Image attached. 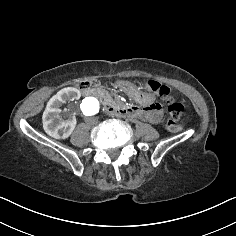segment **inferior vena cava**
I'll list each match as a JSON object with an SVG mask.
<instances>
[{"label":"inferior vena cava","instance_id":"inferior-vena-cava-1","mask_svg":"<svg viewBox=\"0 0 236 236\" xmlns=\"http://www.w3.org/2000/svg\"><path fill=\"white\" fill-rule=\"evenodd\" d=\"M85 122L87 124H98V119L97 118H90V117H85Z\"/></svg>","mask_w":236,"mask_h":236}]
</instances>
